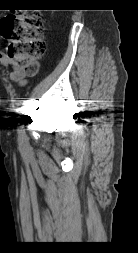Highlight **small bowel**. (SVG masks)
<instances>
[{
  "instance_id": "1",
  "label": "small bowel",
  "mask_w": 138,
  "mask_h": 253,
  "mask_svg": "<svg viewBox=\"0 0 138 253\" xmlns=\"http://www.w3.org/2000/svg\"><path fill=\"white\" fill-rule=\"evenodd\" d=\"M0 63L4 66H10L12 68L9 74V79L12 82H16L21 85H24L26 83L24 70L19 66L17 61L12 59L6 52L1 50H0Z\"/></svg>"
}]
</instances>
